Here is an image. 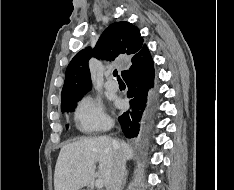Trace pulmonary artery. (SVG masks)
I'll list each match as a JSON object with an SVG mask.
<instances>
[{"instance_id":"e3ab8cb5","label":"pulmonary artery","mask_w":234,"mask_h":190,"mask_svg":"<svg viewBox=\"0 0 234 190\" xmlns=\"http://www.w3.org/2000/svg\"><path fill=\"white\" fill-rule=\"evenodd\" d=\"M106 88L110 91H117L118 90V84L114 81H107L106 82Z\"/></svg>"}]
</instances>
